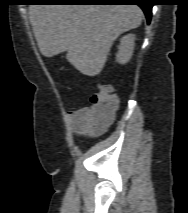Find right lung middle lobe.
I'll list each match as a JSON object with an SVG mask.
<instances>
[{
  "mask_svg": "<svg viewBox=\"0 0 188 213\" xmlns=\"http://www.w3.org/2000/svg\"><path fill=\"white\" fill-rule=\"evenodd\" d=\"M34 3H43L45 2L46 0H32Z\"/></svg>",
  "mask_w": 188,
  "mask_h": 213,
  "instance_id": "right-lung-middle-lobe-1",
  "label": "right lung middle lobe"
}]
</instances>
